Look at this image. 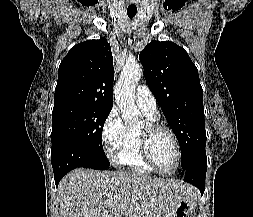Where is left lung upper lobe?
I'll list each match as a JSON object with an SVG mask.
<instances>
[{
	"mask_svg": "<svg viewBox=\"0 0 253 217\" xmlns=\"http://www.w3.org/2000/svg\"><path fill=\"white\" fill-rule=\"evenodd\" d=\"M139 59L146 82L158 101L181 149L183 170L206 155L203 90L188 53L170 41H152Z\"/></svg>",
	"mask_w": 253,
	"mask_h": 217,
	"instance_id": "obj_1",
	"label": "left lung upper lobe"
}]
</instances>
